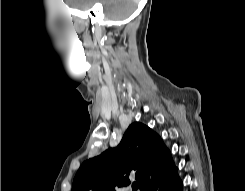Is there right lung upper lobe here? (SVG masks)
Wrapping results in <instances>:
<instances>
[{"instance_id":"right-lung-upper-lobe-1","label":"right lung upper lobe","mask_w":245,"mask_h":191,"mask_svg":"<svg viewBox=\"0 0 245 191\" xmlns=\"http://www.w3.org/2000/svg\"><path fill=\"white\" fill-rule=\"evenodd\" d=\"M174 167L171 154L158 134L142 123H132L117 148L84 161L71 191H116L130 177L147 189Z\"/></svg>"}]
</instances>
